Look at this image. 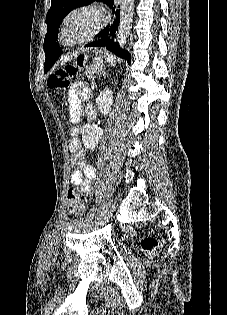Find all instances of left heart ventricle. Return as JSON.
<instances>
[{"label": "left heart ventricle", "instance_id": "obj_1", "mask_svg": "<svg viewBox=\"0 0 227 315\" xmlns=\"http://www.w3.org/2000/svg\"><path fill=\"white\" fill-rule=\"evenodd\" d=\"M95 24V18L90 14H77L71 18L67 28V37L73 39L86 33Z\"/></svg>", "mask_w": 227, "mask_h": 315}]
</instances>
